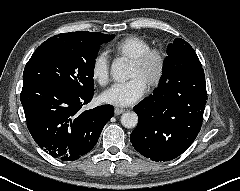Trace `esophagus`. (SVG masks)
Segmentation results:
<instances>
[{
  "label": "esophagus",
  "instance_id": "1",
  "mask_svg": "<svg viewBox=\"0 0 240 191\" xmlns=\"http://www.w3.org/2000/svg\"><path fill=\"white\" fill-rule=\"evenodd\" d=\"M124 112H125V109H121V108H115L114 109L115 115H120V114H122Z\"/></svg>",
  "mask_w": 240,
  "mask_h": 191
}]
</instances>
